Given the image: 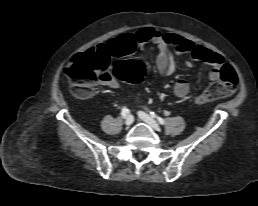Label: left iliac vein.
Listing matches in <instances>:
<instances>
[{"mask_svg":"<svg viewBox=\"0 0 258 206\" xmlns=\"http://www.w3.org/2000/svg\"><path fill=\"white\" fill-rule=\"evenodd\" d=\"M139 118L141 120H143L144 122H146L149 126H151L154 130L159 131L160 130V126L159 124L148 114H146L145 112L139 111L138 112Z\"/></svg>","mask_w":258,"mask_h":206,"instance_id":"4c4485c4","label":"left iliac vein"}]
</instances>
